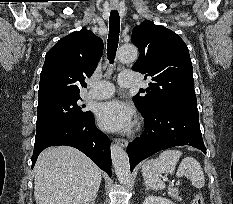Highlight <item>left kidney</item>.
<instances>
[{
    "label": "left kidney",
    "mask_w": 233,
    "mask_h": 204,
    "mask_svg": "<svg viewBox=\"0 0 233 204\" xmlns=\"http://www.w3.org/2000/svg\"><path fill=\"white\" fill-rule=\"evenodd\" d=\"M143 204H174V203L167 198L149 196L145 198Z\"/></svg>",
    "instance_id": "left-kidney-1"
}]
</instances>
